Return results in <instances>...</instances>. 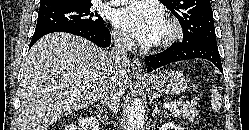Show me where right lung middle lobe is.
Returning a JSON list of instances; mask_svg holds the SVG:
<instances>
[{"mask_svg":"<svg viewBox=\"0 0 249 130\" xmlns=\"http://www.w3.org/2000/svg\"><path fill=\"white\" fill-rule=\"evenodd\" d=\"M90 0H73L67 3L39 8L35 32L62 26H84L101 28L104 20L90 10Z\"/></svg>","mask_w":249,"mask_h":130,"instance_id":"1","label":"right lung middle lobe"}]
</instances>
